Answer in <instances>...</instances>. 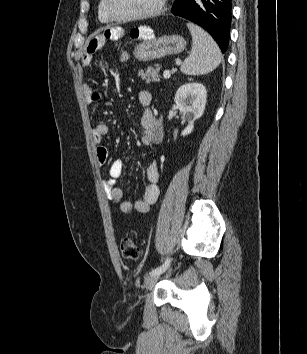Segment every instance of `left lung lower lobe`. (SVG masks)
<instances>
[{
	"mask_svg": "<svg viewBox=\"0 0 307 354\" xmlns=\"http://www.w3.org/2000/svg\"><path fill=\"white\" fill-rule=\"evenodd\" d=\"M171 12L204 28L227 50L232 20L231 0H175Z\"/></svg>",
	"mask_w": 307,
	"mask_h": 354,
	"instance_id": "0a47b994",
	"label": "left lung lower lobe"
}]
</instances>
